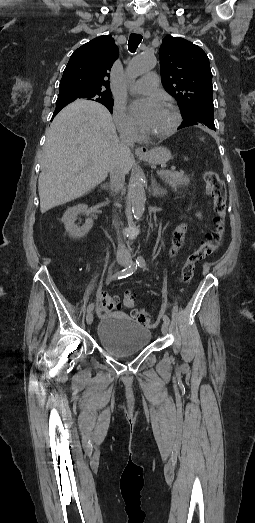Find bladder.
I'll use <instances>...</instances> for the list:
<instances>
[{
    "label": "bladder",
    "instance_id": "bladder-1",
    "mask_svg": "<svg viewBox=\"0 0 255 523\" xmlns=\"http://www.w3.org/2000/svg\"><path fill=\"white\" fill-rule=\"evenodd\" d=\"M124 327H118L110 318H103L97 329V339L101 346L118 356L139 352L148 346L151 338L149 328L127 319Z\"/></svg>",
    "mask_w": 255,
    "mask_h": 523
}]
</instances>
